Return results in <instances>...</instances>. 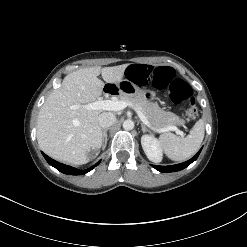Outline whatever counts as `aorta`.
Listing matches in <instances>:
<instances>
[{"label": "aorta", "instance_id": "1", "mask_svg": "<svg viewBox=\"0 0 247 247\" xmlns=\"http://www.w3.org/2000/svg\"><path fill=\"white\" fill-rule=\"evenodd\" d=\"M123 128L125 130H132L134 128V122L131 119H127L123 122Z\"/></svg>", "mask_w": 247, "mask_h": 247}]
</instances>
